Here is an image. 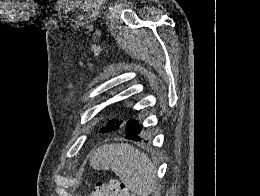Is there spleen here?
Here are the masks:
<instances>
[{
  "mask_svg": "<svg viewBox=\"0 0 260 196\" xmlns=\"http://www.w3.org/2000/svg\"><path fill=\"white\" fill-rule=\"evenodd\" d=\"M90 166L94 170H112L129 192L150 196L155 188L156 170L147 154L130 144H104L93 152Z\"/></svg>",
  "mask_w": 260,
  "mask_h": 196,
  "instance_id": "3e777b00",
  "label": "spleen"
}]
</instances>
